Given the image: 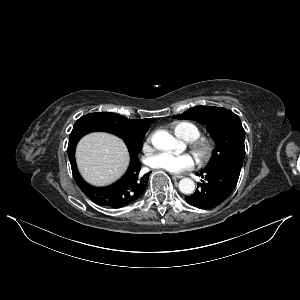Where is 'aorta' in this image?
<instances>
[{"instance_id": "obj_1", "label": "aorta", "mask_w": 300, "mask_h": 300, "mask_svg": "<svg viewBox=\"0 0 300 300\" xmlns=\"http://www.w3.org/2000/svg\"><path fill=\"white\" fill-rule=\"evenodd\" d=\"M152 144L157 149L163 151H170L178 148L180 142L166 131H157L152 136ZM195 183L190 178H183L179 182V190L186 195H190L194 192Z\"/></svg>"}]
</instances>
